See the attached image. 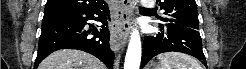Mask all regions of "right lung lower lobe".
<instances>
[{"label": "right lung lower lobe", "mask_w": 246, "mask_h": 69, "mask_svg": "<svg viewBox=\"0 0 246 69\" xmlns=\"http://www.w3.org/2000/svg\"><path fill=\"white\" fill-rule=\"evenodd\" d=\"M107 17V4L86 9H56L44 12L34 68L53 51L68 48L86 51L112 69L115 55L110 49ZM90 20H99L102 23L101 28H95L88 23Z\"/></svg>", "instance_id": "98d812e1"}]
</instances>
